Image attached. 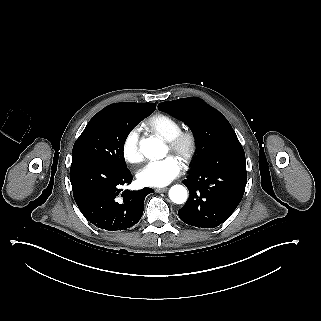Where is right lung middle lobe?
<instances>
[{
	"label": "right lung middle lobe",
	"instance_id": "1",
	"mask_svg": "<svg viewBox=\"0 0 321 321\" xmlns=\"http://www.w3.org/2000/svg\"><path fill=\"white\" fill-rule=\"evenodd\" d=\"M144 118L122 119L105 109L87 124L75 142L72 163L92 162L115 169H127L123 147L130 131Z\"/></svg>",
	"mask_w": 321,
	"mask_h": 321
}]
</instances>
